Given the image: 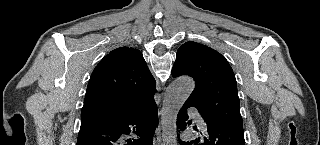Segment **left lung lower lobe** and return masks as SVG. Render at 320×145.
<instances>
[{
	"label": "left lung lower lobe",
	"instance_id": "left-lung-lower-lobe-1",
	"mask_svg": "<svg viewBox=\"0 0 320 145\" xmlns=\"http://www.w3.org/2000/svg\"><path fill=\"white\" fill-rule=\"evenodd\" d=\"M195 107L191 101L187 100L177 117V128L184 131L191 124L188 121L187 109ZM203 117V116H202ZM207 124L205 131L200 132L201 137L192 141L183 142L179 139L181 145H245L244 132L241 129L227 124H219L203 117ZM198 131L196 128H194Z\"/></svg>",
	"mask_w": 320,
	"mask_h": 145
}]
</instances>
